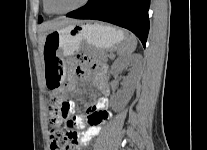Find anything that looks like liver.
<instances>
[{"label": "liver", "instance_id": "obj_1", "mask_svg": "<svg viewBox=\"0 0 207 150\" xmlns=\"http://www.w3.org/2000/svg\"><path fill=\"white\" fill-rule=\"evenodd\" d=\"M81 21L75 20V19H70V18H57L52 21H47L43 22L39 26V48L42 51L43 50V45H44V40L46 35L51 32L52 30H56L58 28H61L63 26L69 25V24H76L80 23Z\"/></svg>", "mask_w": 207, "mask_h": 150}]
</instances>
